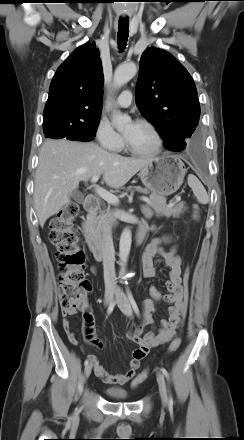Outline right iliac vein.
<instances>
[{"mask_svg":"<svg viewBox=\"0 0 244 440\" xmlns=\"http://www.w3.org/2000/svg\"><path fill=\"white\" fill-rule=\"evenodd\" d=\"M113 294H114V289L113 288H108L107 290H106V293H105V305H108L109 303H111V301H112V299H113ZM91 371H92V365L91 364H88L86 367H85V370H84V375H85V379H87L89 376H90V374H91Z\"/></svg>","mask_w":244,"mask_h":440,"instance_id":"1","label":"right iliac vein"}]
</instances>
